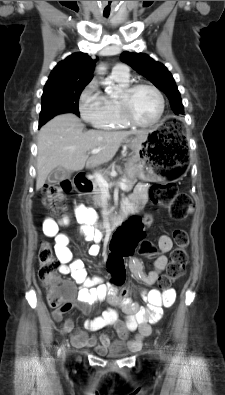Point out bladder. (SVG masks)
Listing matches in <instances>:
<instances>
[{
  "label": "bladder",
  "mask_w": 225,
  "mask_h": 395,
  "mask_svg": "<svg viewBox=\"0 0 225 395\" xmlns=\"http://www.w3.org/2000/svg\"><path fill=\"white\" fill-rule=\"evenodd\" d=\"M128 351L127 345L124 341L116 340L104 351L110 357H121Z\"/></svg>",
  "instance_id": "31cf9c89"
}]
</instances>
